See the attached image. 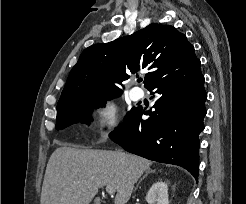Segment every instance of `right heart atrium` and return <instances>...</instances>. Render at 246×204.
Returning <instances> with one entry per match:
<instances>
[{
    "label": "right heart atrium",
    "instance_id": "obj_1",
    "mask_svg": "<svg viewBox=\"0 0 246 204\" xmlns=\"http://www.w3.org/2000/svg\"><path fill=\"white\" fill-rule=\"evenodd\" d=\"M120 116L118 106L112 98H102L95 106L93 132L98 143L109 139L119 125Z\"/></svg>",
    "mask_w": 246,
    "mask_h": 204
}]
</instances>
